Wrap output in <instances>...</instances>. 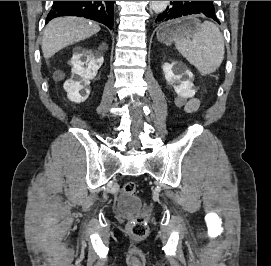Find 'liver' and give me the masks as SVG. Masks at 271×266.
Masks as SVG:
<instances>
[{
  "label": "liver",
  "instance_id": "obj_1",
  "mask_svg": "<svg viewBox=\"0 0 271 266\" xmlns=\"http://www.w3.org/2000/svg\"><path fill=\"white\" fill-rule=\"evenodd\" d=\"M100 31V26L84 18L60 17L49 22L44 30L42 52L46 59L61 49L84 40Z\"/></svg>",
  "mask_w": 271,
  "mask_h": 266
}]
</instances>
